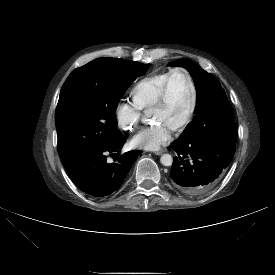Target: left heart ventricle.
<instances>
[{
    "mask_svg": "<svg viewBox=\"0 0 275 275\" xmlns=\"http://www.w3.org/2000/svg\"><path fill=\"white\" fill-rule=\"evenodd\" d=\"M191 103V90L186 76L176 73L172 76L168 99L164 106L151 110V119L162 121L175 128L186 117Z\"/></svg>",
    "mask_w": 275,
    "mask_h": 275,
    "instance_id": "1",
    "label": "left heart ventricle"
}]
</instances>
